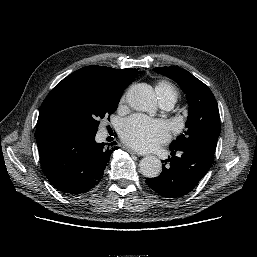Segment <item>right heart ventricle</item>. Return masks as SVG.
Segmentation results:
<instances>
[{
	"mask_svg": "<svg viewBox=\"0 0 257 257\" xmlns=\"http://www.w3.org/2000/svg\"><path fill=\"white\" fill-rule=\"evenodd\" d=\"M155 91L159 101L164 99H171L174 102L177 100L178 92L176 88L168 81L162 80L156 84Z\"/></svg>",
	"mask_w": 257,
	"mask_h": 257,
	"instance_id": "obj_1",
	"label": "right heart ventricle"
}]
</instances>
